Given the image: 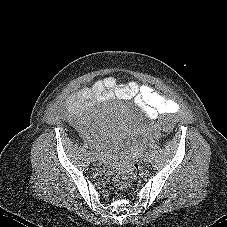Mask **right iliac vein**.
I'll use <instances>...</instances> for the list:
<instances>
[{
    "instance_id": "1",
    "label": "right iliac vein",
    "mask_w": 227,
    "mask_h": 227,
    "mask_svg": "<svg viewBox=\"0 0 227 227\" xmlns=\"http://www.w3.org/2000/svg\"><path fill=\"white\" fill-rule=\"evenodd\" d=\"M89 155H90V160L92 162H95L96 161V157L92 153H89Z\"/></svg>"
}]
</instances>
